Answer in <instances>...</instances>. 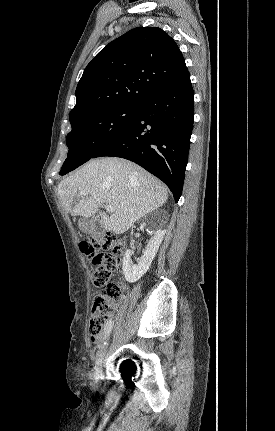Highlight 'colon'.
Returning <instances> with one entry per match:
<instances>
[{
	"instance_id": "obj_1",
	"label": "colon",
	"mask_w": 275,
	"mask_h": 431,
	"mask_svg": "<svg viewBox=\"0 0 275 431\" xmlns=\"http://www.w3.org/2000/svg\"><path fill=\"white\" fill-rule=\"evenodd\" d=\"M80 249L90 260L94 286L101 289L93 300L89 322V334L94 338L103 334L123 291L121 283L110 279L120 266L125 244L113 234L101 233L82 241Z\"/></svg>"
}]
</instances>
